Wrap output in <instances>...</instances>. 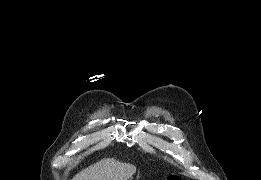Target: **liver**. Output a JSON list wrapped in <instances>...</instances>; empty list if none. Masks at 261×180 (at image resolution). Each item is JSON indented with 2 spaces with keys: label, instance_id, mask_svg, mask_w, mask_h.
I'll list each match as a JSON object with an SVG mask.
<instances>
[{
  "label": "liver",
  "instance_id": "liver-1",
  "mask_svg": "<svg viewBox=\"0 0 261 180\" xmlns=\"http://www.w3.org/2000/svg\"><path fill=\"white\" fill-rule=\"evenodd\" d=\"M136 172V166L121 164L117 160H101L76 174L73 180H129Z\"/></svg>",
  "mask_w": 261,
  "mask_h": 180
}]
</instances>
